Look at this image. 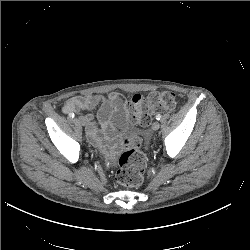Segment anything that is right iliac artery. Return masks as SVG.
<instances>
[{"mask_svg":"<svg viewBox=\"0 0 250 250\" xmlns=\"http://www.w3.org/2000/svg\"><path fill=\"white\" fill-rule=\"evenodd\" d=\"M75 114L74 113H69L70 118H74Z\"/></svg>","mask_w":250,"mask_h":250,"instance_id":"82829eb1","label":"right iliac artery"}]
</instances>
